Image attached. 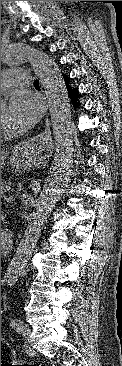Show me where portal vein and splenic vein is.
Masks as SVG:
<instances>
[{
	"label": "portal vein and splenic vein",
	"instance_id": "obj_1",
	"mask_svg": "<svg viewBox=\"0 0 122 366\" xmlns=\"http://www.w3.org/2000/svg\"><path fill=\"white\" fill-rule=\"evenodd\" d=\"M13 198H14L13 196H9V197L6 198V201L11 202V201H13Z\"/></svg>",
	"mask_w": 122,
	"mask_h": 366
}]
</instances>
